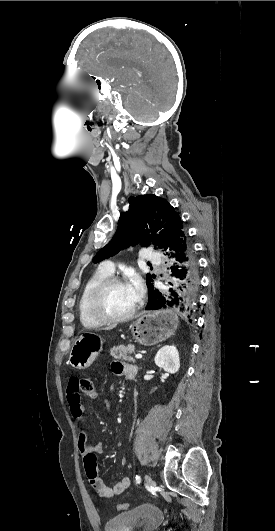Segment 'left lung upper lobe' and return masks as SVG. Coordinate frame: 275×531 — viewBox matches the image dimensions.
I'll use <instances>...</instances> for the list:
<instances>
[{
  "label": "left lung upper lobe",
  "mask_w": 275,
  "mask_h": 531,
  "mask_svg": "<svg viewBox=\"0 0 275 531\" xmlns=\"http://www.w3.org/2000/svg\"><path fill=\"white\" fill-rule=\"evenodd\" d=\"M128 202L129 210L121 213L115 235L96 254L93 262L109 258L135 243L148 246L153 241L165 250L174 231L182 224L179 214L170 203L154 194L130 197ZM146 277L148 296L152 297L155 276L147 274Z\"/></svg>",
  "instance_id": "obj_1"
}]
</instances>
